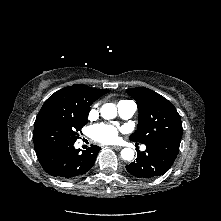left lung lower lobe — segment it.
<instances>
[{
	"instance_id": "1",
	"label": "left lung lower lobe",
	"mask_w": 221,
	"mask_h": 221,
	"mask_svg": "<svg viewBox=\"0 0 221 221\" xmlns=\"http://www.w3.org/2000/svg\"><path fill=\"white\" fill-rule=\"evenodd\" d=\"M146 150H137V158L126 166V170L138 178H154L165 174L173 165L178 151L179 142L155 140L145 143Z\"/></svg>"
}]
</instances>
